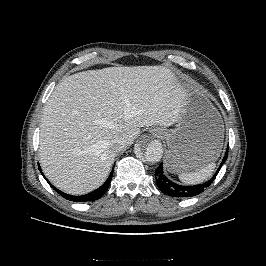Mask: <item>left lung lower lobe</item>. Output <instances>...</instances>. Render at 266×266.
<instances>
[{"label":"left lung lower lobe","instance_id":"obj_1","mask_svg":"<svg viewBox=\"0 0 266 266\" xmlns=\"http://www.w3.org/2000/svg\"><path fill=\"white\" fill-rule=\"evenodd\" d=\"M227 156H228V148H227L225 156H224L217 172L214 174L213 178L210 179L209 181L203 183V184H199V185H195V186H181V185H178V184L172 182L171 180H169L164 175L163 166L161 163L159 165V167L155 170V178H156L157 186L159 187V189L163 193H165L169 196L185 198V197H192V196L198 195V194L202 193L205 190V188H207L211 185V183L213 182V180L217 176L219 170L221 169L222 165L227 160Z\"/></svg>","mask_w":266,"mask_h":266}]
</instances>
